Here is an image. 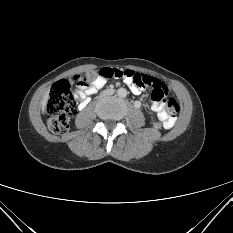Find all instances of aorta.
<instances>
[{
  "label": "aorta",
  "instance_id": "1",
  "mask_svg": "<svg viewBox=\"0 0 233 233\" xmlns=\"http://www.w3.org/2000/svg\"><path fill=\"white\" fill-rule=\"evenodd\" d=\"M117 94L119 97L124 98L127 96V90L125 88H119Z\"/></svg>",
  "mask_w": 233,
  "mask_h": 233
}]
</instances>
